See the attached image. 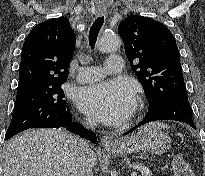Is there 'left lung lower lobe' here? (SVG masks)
<instances>
[{"label": "left lung lower lobe", "instance_id": "1", "mask_svg": "<svg viewBox=\"0 0 205 176\" xmlns=\"http://www.w3.org/2000/svg\"><path fill=\"white\" fill-rule=\"evenodd\" d=\"M157 120H176L188 123L193 128H196L192 116L191 106L187 98V92H176L166 101H159L149 105V110L142 122L132 128V132L136 128ZM129 132L125 133L128 134Z\"/></svg>", "mask_w": 205, "mask_h": 176}]
</instances>
